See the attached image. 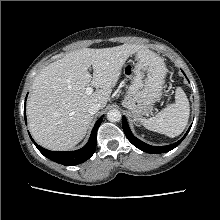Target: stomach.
<instances>
[{"mask_svg": "<svg viewBox=\"0 0 220 220\" xmlns=\"http://www.w3.org/2000/svg\"><path fill=\"white\" fill-rule=\"evenodd\" d=\"M137 63L134 78L122 101L135 120L151 112L163 90L166 67L164 61L154 52L141 49L136 54Z\"/></svg>", "mask_w": 220, "mask_h": 220, "instance_id": "1", "label": "stomach"}]
</instances>
